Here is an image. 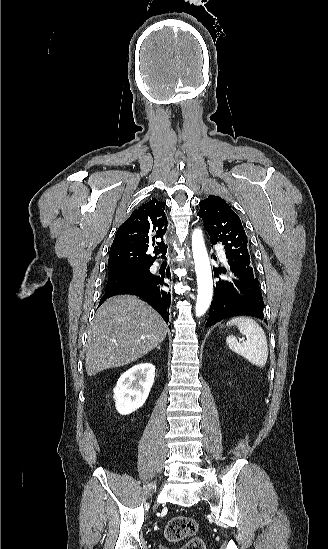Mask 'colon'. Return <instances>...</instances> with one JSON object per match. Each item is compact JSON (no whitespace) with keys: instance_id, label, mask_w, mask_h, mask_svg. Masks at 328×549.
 <instances>
[{"instance_id":"colon-1","label":"colon","mask_w":328,"mask_h":549,"mask_svg":"<svg viewBox=\"0 0 328 549\" xmlns=\"http://www.w3.org/2000/svg\"><path fill=\"white\" fill-rule=\"evenodd\" d=\"M199 531L198 522L188 516H177L169 521L165 529V537L171 543H178L189 538L179 549H205L204 542L196 534Z\"/></svg>"}]
</instances>
